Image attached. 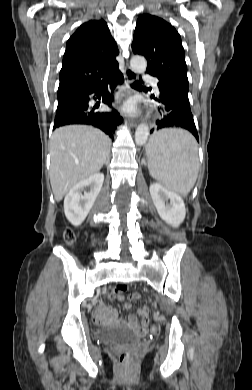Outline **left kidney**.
<instances>
[{"label":"left kidney","instance_id":"1","mask_svg":"<svg viewBox=\"0 0 252 390\" xmlns=\"http://www.w3.org/2000/svg\"><path fill=\"white\" fill-rule=\"evenodd\" d=\"M149 191L159 216L166 223L178 227L186 216L182 198L158 183L151 184Z\"/></svg>","mask_w":252,"mask_h":390}]
</instances>
